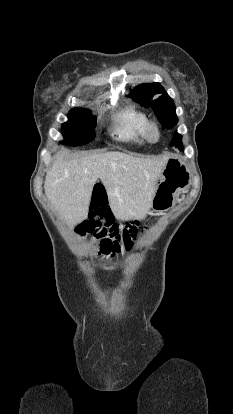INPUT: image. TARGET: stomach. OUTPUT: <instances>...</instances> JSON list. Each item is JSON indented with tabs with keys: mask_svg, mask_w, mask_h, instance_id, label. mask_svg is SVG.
<instances>
[{
	"mask_svg": "<svg viewBox=\"0 0 233 414\" xmlns=\"http://www.w3.org/2000/svg\"><path fill=\"white\" fill-rule=\"evenodd\" d=\"M189 182L188 164L179 155H171L157 181L152 208L159 210L169 207L176 195L189 186Z\"/></svg>",
	"mask_w": 233,
	"mask_h": 414,
	"instance_id": "obj_1",
	"label": "stomach"
}]
</instances>
